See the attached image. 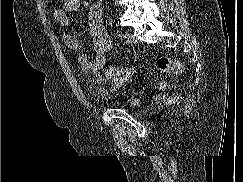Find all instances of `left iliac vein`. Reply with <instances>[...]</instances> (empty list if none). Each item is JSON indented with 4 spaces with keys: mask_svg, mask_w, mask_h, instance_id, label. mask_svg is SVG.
<instances>
[{
    "mask_svg": "<svg viewBox=\"0 0 243 182\" xmlns=\"http://www.w3.org/2000/svg\"><path fill=\"white\" fill-rule=\"evenodd\" d=\"M125 38H126V40H127L128 42H135V41H136L134 35H132V34H130V33L125 34Z\"/></svg>",
    "mask_w": 243,
    "mask_h": 182,
    "instance_id": "1",
    "label": "left iliac vein"
}]
</instances>
